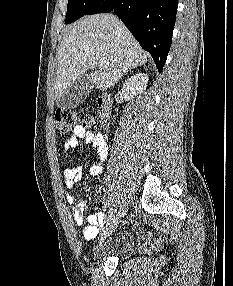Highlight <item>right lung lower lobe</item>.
<instances>
[{
	"label": "right lung lower lobe",
	"instance_id": "obj_1",
	"mask_svg": "<svg viewBox=\"0 0 233 286\" xmlns=\"http://www.w3.org/2000/svg\"><path fill=\"white\" fill-rule=\"evenodd\" d=\"M177 6L178 0H99L86 15L113 11L161 72L171 46Z\"/></svg>",
	"mask_w": 233,
	"mask_h": 286
}]
</instances>
